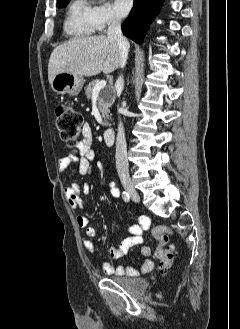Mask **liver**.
I'll list each match as a JSON object with an SVG mask.
<instances>
[{
    "label": "liver",
    "mask_w": 240,
    "mask_h": 329,
    "mask_svg": "<svg viewBox=\"0 0 240 329\" xmlns=\"http://www.w3.org/2000/svg\"><path fill=\"white\" fill-rule=\"evenodd\" d=\"M120 55L117 43L104 35L71 39L52 51L49 83L60 72L87 77L111 73L120 67Z\"/></svg>",
    "instance_id": "1"
}]
</instances>
